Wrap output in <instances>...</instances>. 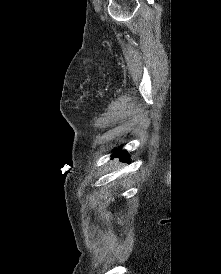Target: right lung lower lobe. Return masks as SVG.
Instances as JSON below:
<instances>
[{
    "mask_svg": "<svg viewBox=\"0 0 221 274\" xmlns=\"http://www.w3.org/2000/svg\"><path fill=\"white\" fill-rule=\"evenodd\" d=\"M114 157H119L120 160H125L127 161L129 156L127 155L126 152H124L123 150L119 151V152H116L114 155Z\"/></svg>",
    "mask_w": 221,
    "mask_h": 274,
    "instance_id": "right-lung-lower-lobe-1",
    "label": "right lung lower lobe"
}]
</instances>
